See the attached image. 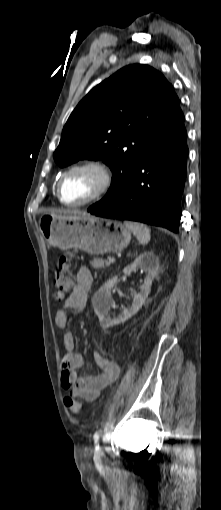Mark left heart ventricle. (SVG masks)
I'll list each match as a JSON object with an SVG mask.
<instances>
[{"label": "left heart ventricle", "mask_w": 221, "mask_h": 510, "mask_svg": "<svg viewBox=\"0 0 221 510\" xmlns=\"http://www.w3.org/2000/svg\"><path fill=\"white\" fill-rule=\"evenodd\" d=\"M97 186V176L91 171L71 173L62 184V198L69 203L79 202L90 196Z\"/></svg>", "instance_id": "b2bd125f"}]
</instances>
